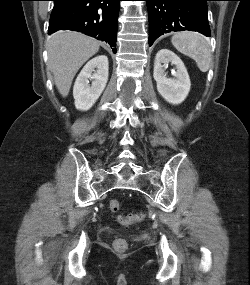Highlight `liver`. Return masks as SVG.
I'll return each instance as SVG.
<instances>
[{
  "mask_svg": "<svg viewBox=\"0 0 250 285\" xmlns=\"http://www.w3.org/2000/svg\"><path fill=\"white\" fill-rule=\"evenodd\" d=\"M97 40L74 31H59L48 43V67L59 93L66 97L80 67L99 50Z\"/></svg>",
  "mask_w": 250,
  "mask_h": 285,
  "instance_id": "1",
  "label": "liver"
}]
</instances>
